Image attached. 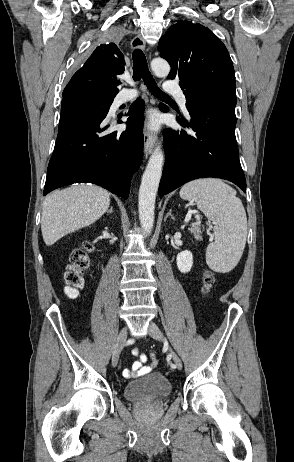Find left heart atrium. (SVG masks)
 Segmentation results:
<instances>
[{"mask_svg":"<svg viewBox=\"0 0 294 462\" xmlns=\"http://www.w3.org/2000/svg\"><path fill=\"white\" fill-rule=\"evenodd\" d=\"M150 126L151 127H156V120L154 118H151Z\"/></svg>","mask_w":294,"mask_h":462,"instance_id":"39dd6f15","label":"left heart atrium"}]
</instances>
